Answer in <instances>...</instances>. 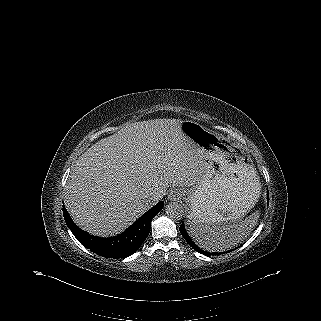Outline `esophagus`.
<instances>
[{
  "label": "esophagus",
  "mask_w": 321,
  "mask_h": 321,
  "mask_svg": "<svg viewBox=\"0 0 321 321\" xmlns=\"http://www.w3.org/2000/svg\"><path fill=\"white\" fill-rule=\"evenodd\" d=\"M182 197V194L179 190H173L170 192L168 199L172 201L179 200Z\"/></svg>",
  "instance_id": "esophagus-1"
}]
</instances>
